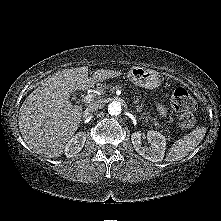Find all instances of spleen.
<instances>
[{"label":"spleen","instance_id":"1","mask_svg":"<svg viewBox=\"0 0 221 221\" xmlns=\"http://www.w3.org/2000/svg\"><path fill=\"white\" fill-rule=\"evenodd\" d=\"M206 128L199 127L193 130L190 134L177 140L169 150L166 161L174 162L186 157L192 152L202 141L205 136Z\"/></svg>","mask_w":221,"mask_h":221}]
</instances>
